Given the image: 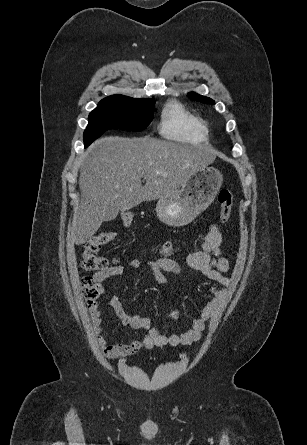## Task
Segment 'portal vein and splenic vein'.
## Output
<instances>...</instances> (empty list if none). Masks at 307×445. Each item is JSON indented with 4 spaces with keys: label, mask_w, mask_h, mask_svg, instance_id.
I'll use <instances>...</instances> for the list:
<instances>
[{
    "label": "portal vein and splenic vein",
    "mask_w": 307,
    "mask_h": 445,
    "mask_svg": "<svg viewBox=\"0 0 307 445\" xmlns=\"http://www.w3.org/2000/svg\"><path fill=\"white\" fill-rule=\"evenodd\" d=\"M155 174H164L163 170H156Z\"/></svg>",
    "instance_id": "obj_1"
}]
</instances>
